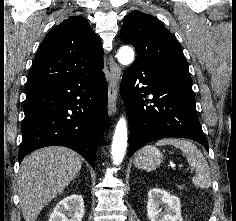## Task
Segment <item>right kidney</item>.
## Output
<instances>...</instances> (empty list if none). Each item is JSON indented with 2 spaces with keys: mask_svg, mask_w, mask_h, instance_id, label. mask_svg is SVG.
<instances>
[{
  "mask_svg": "<svg viewBox=\"0 0 236 221\" xmlns=\"http://www.w3.org/2000/svg\"><path fill=\"white\" fill-rule=\"evenodd\" d=\"M83 216L84 201L82 196L71 194L56 205L49 221H82Z\"/></svg>",
  "mask_w": 236,
  "mask_h": 221,
  "instance_id": "1",
  "label": "right kidney"
}]
</instances>
